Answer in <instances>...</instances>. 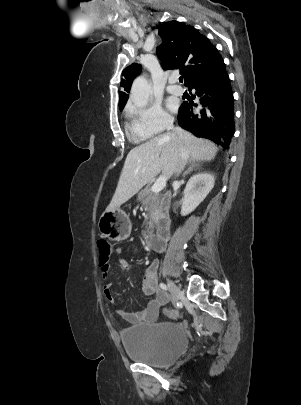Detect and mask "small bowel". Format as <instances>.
Masks as SVG:
<instances>
[{"label": "small bowel", "mask_w": 301, "mask_h": 405, "mask_svg": "<svg viewBox=\"0 0 301 405\" xmlns=\"http://www.w3.org/2000/svg\"><path fill=\"white\" fill-rule=\"evenodd\" d=\"M119 256V264L123 270H129V263L121 257V249H115L114 251ZM112 255L111 253L108 257H99V265L101 276L105 279L110 273V264L109 260ZM157 268L158 262L152 261L144 270L143 279H142V291L146 296H153V299L148 302V304L140 311L135 312H126L124 310L118 309V314L124 318L126 321L132 324H139L142 322H154L157 320L160 309L163 305L166 304L168 297L165 293L161 292L157 288ZM103 293L105 298L113 303L114 297L112 293L111 286L105 284L103 286Z\"/></svg>", "instance_id": "small-bowel-1"}]
</instances>
